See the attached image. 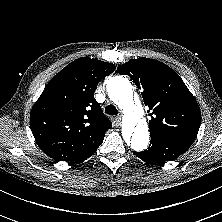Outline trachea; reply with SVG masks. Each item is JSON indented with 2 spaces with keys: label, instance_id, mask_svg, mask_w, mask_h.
<instances>
[{
  "label": "trachea",
  "instance_id": "1",
  "mask_svg": "<svg viewBox=\"0 0 222 222\" xmlns=\"http://www.w3.org/2000/svg\"><path fill=\"white\" fill-rule=\"evenodd\" d=\"M105 112L110 115V116H117L118 115V110L116 109V107L112 104H109L106 106L105 108Z\"/></svg>",
  "mask_w": 222,
  "mask_h": 222
}]
</instances>
